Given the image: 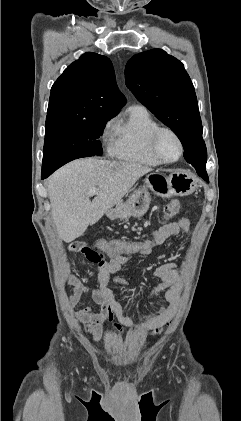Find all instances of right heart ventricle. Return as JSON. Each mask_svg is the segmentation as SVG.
<instances>
[{"label":"right heart ventricle","instance_id":"e07e8e85","mask_svg":"<svg viewBox=\"0 0 241 421\" xmlns=\"http://www.w3.org/2000/svg\"><path fill=\"white\" fill-rule=\"evenodd\" d=\"M159 127L145 107H130L126 118L115 125L110 153L123 161L148 166L160 165L149 145L152 133Z\"/></svg>","mask_w":241,"mask_h":421}]
</instances>
